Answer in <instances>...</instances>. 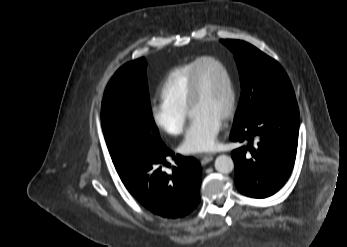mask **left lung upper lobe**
Here are the masks:
<instances>
[{
	"mask_svg": "<svg viewBox=\"0 0 347 247\" xmlns=\"http://www.w3.org/2000/svg\"><path fill=\"white\" fill-rule=\"evenodd\" d=\"M220 41L233 52L240 74L241 97L233 126L269 102L295 98L291 82L277 61L244 41Z\"/></svg>",
	"mask_w": 347,
	"mask_h": 247,
	"instance_id": "5c2ea615",
	"label": "left lung upper lobe"
}]
</instances>
